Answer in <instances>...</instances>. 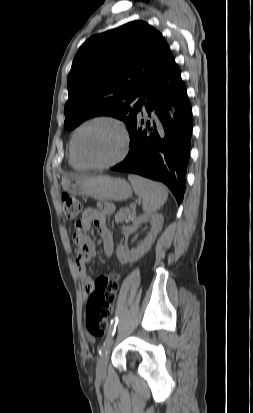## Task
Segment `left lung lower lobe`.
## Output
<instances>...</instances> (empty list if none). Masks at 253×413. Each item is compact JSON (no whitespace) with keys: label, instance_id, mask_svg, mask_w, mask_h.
<instances>
[{"label":"left lung lower lobe","instance_id":"left-lung-lower-lobe-1","mask_svg":"<svg viewBox=\"0 0 253 413\" xmlns=\"http://www.w3.org/2000/svg\"><path fill=\"white\" fill-rule=\"evenodd\" d=\"M145 97L148 115L154 110L163 131L158 130L156 122L140 113L128 129L130 151L113 170L135 173L165 183L180 204L190 154L192 108L174 58ZM172 104L176 112L174 119L169 120L167 109Z\"/></svg>","mask_w":253,"mask_h":413}]
</instances>
